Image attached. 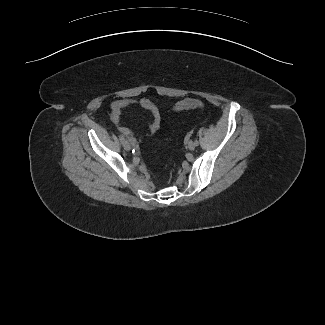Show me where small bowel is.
I'll list each match as a JSON object with an SVG mask.
<instances>
[{
  "mask_svg": "<svg viewBox=\"0 0 325 325\" xmlns=\"http://www.w3.org/2000/svg\"><path fill=\"white\" fill-rule=\"evenodd\" d=\"M141 107L151 114V121L148 126L147 134L153 135L156 133L161 125V112L159 108L147 98L141 99L140 101L132 98H122L116 101L111 102L110 109H111V118L116 123H120V114L123 111L130 110L133 108ZM119 131L129 138L132 143L137 141L136 136L134 133L125 126H119Z\"/></svg>",
  "mask_w": 325,
  "mask_h": 325,
  "instance_id": "c3829d8e",
  "label": "small bowel"
}]
</instances>
